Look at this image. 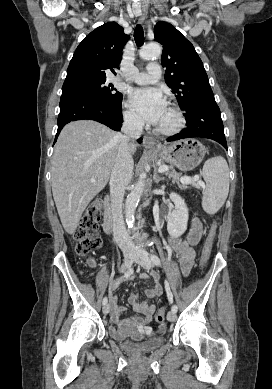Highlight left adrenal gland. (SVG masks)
I'll use <instances>...</instances> for the list:
<instances>
[{"label":"left adrenal gland","instance_id":"obj_1","mask_svg":"<svg viewBox=\"0 0 272 389\" xmlns=\"http://www.w3.org/2000/svg\"><path fill=\"white\" fill-rule=\"evenodd\" d=\"M153 180L155 183H159L161 180H164V177H160L157 171H155L153 175Z\"/></svg>","mask_w":272,"mask_h":389}]
</instances>
